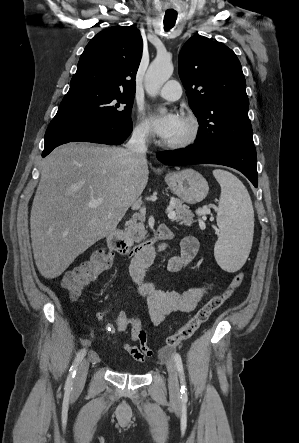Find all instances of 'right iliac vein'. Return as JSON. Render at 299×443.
<instances>
[{
	"label": "right iliac vein",
	"instance_id": "obj_1",
	"mask_svg": "<svg viewBox=\"0 0 299 443\" xmlns=\"http://www.w3.org/2000/svg\"><path fill=\"white\" fill-rule=\"evenodd\" d=\"M89 364L90 361L87 358L80 363L73 383V386L76 390H80L83 388L86 381Z\"/></svg>",
	"mask_w": 299,
	"mask_h": 443
}]
</instances>
